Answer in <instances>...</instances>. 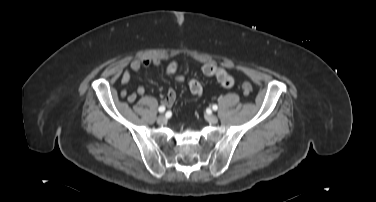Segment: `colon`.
<instances>
[{"mask_svg": "<svg viewBox=\"0 0 376 202\" xmlns=\"http://www.w3.org/2000/svg\"><path fill=\"white\" fill-rule=\"evenodd\" d=\"M242 90L245 94H251L253 92V86L249 82H244L242 84Z\"/></svg>", "mask_w": 376, "mask_h": 202, "instance_id": "colon-1", "label": "colon"}]
</instances>
